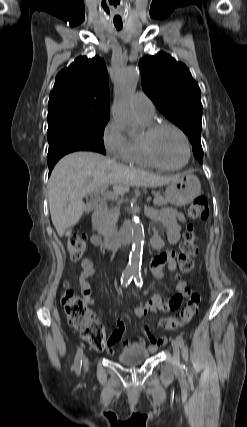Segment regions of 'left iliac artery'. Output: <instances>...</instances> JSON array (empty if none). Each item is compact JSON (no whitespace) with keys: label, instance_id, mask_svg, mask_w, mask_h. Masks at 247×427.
Here are the masks:
<instances>
[{"label":"left iliac artery","instance_id":"obj_1","mask_svg":"<svg viewBox=\"0 0 247 427\" xmlns=\"http://www.w3.org/2000/svg\"><path fill=\"white\" fill-rule=\"evenodd\" d=\"M133 278H134L135 284H136L138 287H142L143 280H142V276H141V274H140V273H136V274L133 276ZM177 339L179 340L180 345H183V344H184V340H183V337H182L181 335H178V336H177Z\"/></svg>","mask_w":247,"mask_h":427}]
</instances>
